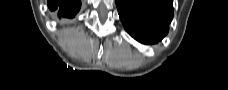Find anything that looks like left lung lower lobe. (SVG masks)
<instances>
[{"label":"left lung lower lobe","instance_id":"0a47b994","mask_svg":"<svg viewBox=\"0 0 228 90\" xmlns=\"http://www.w3.org/2000/svg\"><path fill=\"white\" fill-rule=\"evenodd\" d=\"M116 5L125 30L136 40L153 44L167 34L172 0H116Z\"/></svg>","mask_w":228,"mask_h":90}]
</instances>
